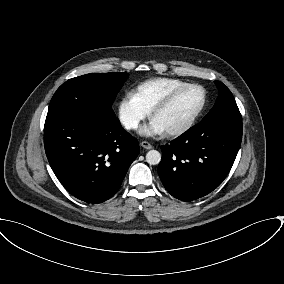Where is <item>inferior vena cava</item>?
I'll use <instances>...</instances> for the list:
<instances>
[{"label":"inferior vena cava","instance_id":"1","mask_svg":"<svg viewBox=\"0 0 284 284\" xmlns=\"http://www.w3.org/2000/svg\"><path fill=\"white\" fill-rule=\"evenodd\" d=\"M138 124L134 121H131L127 124V128L131 129V128H137Z\"/></svg>","mask_w":284,"mask_h":284}]
</instances>
